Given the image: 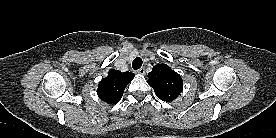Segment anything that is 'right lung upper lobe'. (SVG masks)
I'll use <instances>...</instances> for the list:
<instances>
[{
	"label": "right lung upper lobe",
	"mask_w": 276,
	"mask_h": 138,
	"mask_svg": "<svg viewBox=\"0 0 276 138\" xmlns=\"http://www.w3.org/2000/svg\"><path fill=\"white\" fill-rule=\"evenodd\" d=\"M135 74L130 72H120L110 70L106 78L98 84L97 94L99 98L107 104H116L121 99L124 89L132 81Z\"/></svg>",
	"instance_id": "right-lung-upper-lobe-1"
}]
</instances>
